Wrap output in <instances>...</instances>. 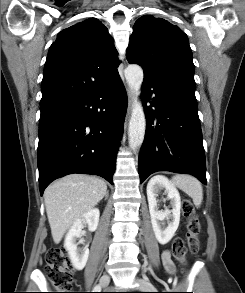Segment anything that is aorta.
Returning <instances> with one entry per match:
<instances>
[{
  "label": "aorta",
  "mask_w": 245,
  "mask_h": 293,
  "mask_svg": "<svg viewBox=\"0 0 245 293\" xmlns=\"http://www.w3.org/2000/svg\"><path fill=\"white\" fill-rule=\"evenodd\" d=\"M126 81L134 94L132 113L129 121L128 139L132 150L140 147L144 140L146 120L141 101L140 89L143 83V70L137 64L128 65L124 71Z\"/></svg>",
  "instance_id": "aorta-1"
}]
</instances>
